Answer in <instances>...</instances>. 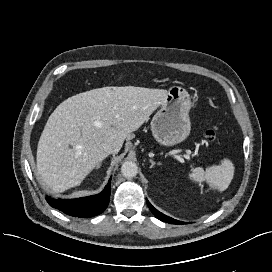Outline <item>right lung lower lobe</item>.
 Returning a JSON list of instances; mask_svg holds the SVG:
<instances>
[{
	"label": "right lung lower lobe",
	"instance_id": "98d812e1",
	"mask_svg": "<svg viewBox=\"0 0 272 272\" xmlns=\"http://www.w3.org/2000/svg\"><path fill=\"white\" fill-rule=\"evenodd\" d=\"M111 178L104 190L97 194L79 199H52L47 197L46 200L50 206L74 217H93L102 213L108 206L111 191Z\"/></svg>",
	"mask_w": 272,
	"mask_h": 272
}]
</instances>
